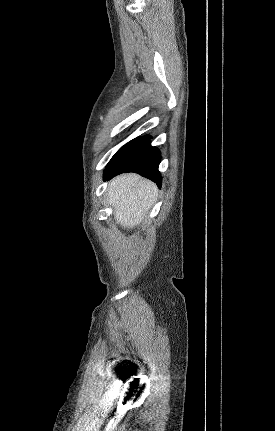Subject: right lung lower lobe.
Returning a JSON list of instances; mask_svg holds the SVG:
<instances>
[{"instance_id": "obj_1", "label": "right lung lower lobe", "mask_w": 275, "mask_h": 431, "mask_svg": "<svg viewBox=\"0 0 275 431\" xmlns=\"http://www.w3.org/2000/svg\"><path fill=\"white\" fill-rule=\"evenodd\" d=\"M160 160V151L150 145L149 137H138L117 151L105 167L103 177L109 180L121 173L135 172L161 187L162 179L158 171Z\"/></svg>"}]
</instances>
